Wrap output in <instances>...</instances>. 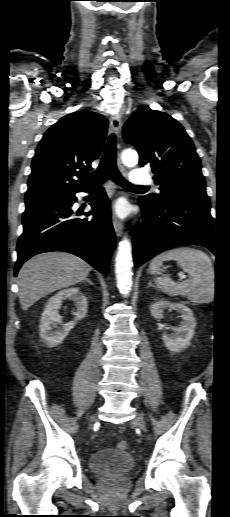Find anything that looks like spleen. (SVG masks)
<instances>
[{
  "instance_id": "obj_1",
  "label": "spleen",
  "mask_w": 230,
  "mask_h": 517,
  "mask_svg": "<svg viewBox=\"0 0 230 517\" xmlns=\"http://www.w3.org/2000/svg\"><path fill=\"white\" fill-rule=\"evenodd\" d=\"M168 260L177 261L190 279L177 284L169 277H157L158 289L170 296H186L193 303H208L214 299L215 273L207 254L193 248H176L156 256L150 263V270L156 272L163 261Z\"/></svg>"
}]
</instances>
